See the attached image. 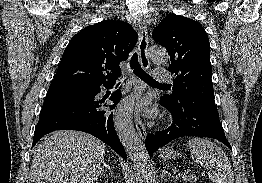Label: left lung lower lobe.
Returning a JSON list of instances; mask_svg holds the SVG:
<instances>
[{
	"mask_svg": "<svg viewBox=\"0 0 262 183\" xmlns=\"http://www.w3.org/2000/svg\"><path fill=\"white\" fill-rule=\"evenodd\" d=\"M160 103L172 114L173 123L168 129L147 135L145 145L150 156L160 147L182 136L214 138L232 150L225 137L215 105L180 103L170 106L162 101Z\"/></svg>",
	"mask_w": 262,
	"mask_h": 183,
	"instance_id": "left-lung-lower-lobe-1",
	"label": "left lung lower lobe"
}]
</instances>
